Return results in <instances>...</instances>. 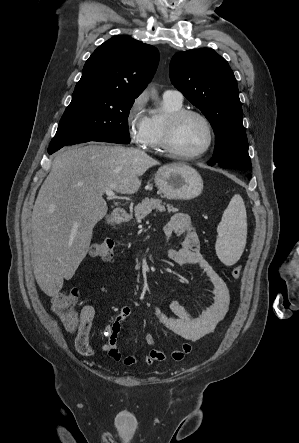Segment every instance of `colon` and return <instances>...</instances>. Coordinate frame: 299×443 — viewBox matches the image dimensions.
<instances>
[{
  "label": "colon",
  "instance_id": "1",
  "mask_svg": "<svg viewBox=\"0 0 299 443\" xmlns=\"http://www.w3.org/2000/svg\"><path fill=\"white\" fill-rule=\"evenodd\" d=\"M115 242L112 239H103L95 242L91 247V255L103 261H111L114 256ZM241 267L235 266L231 275L238 279L241 275ZM77 288L61 291L53 296L52 310L61 319L64 327L72 332L84 331L87 327L81 313L76 309L79 301Z\"/></svg>",
  "mask_w": 299,
  "mask_h": 443
}]
</instances>
